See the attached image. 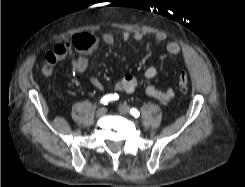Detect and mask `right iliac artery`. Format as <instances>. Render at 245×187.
<instances>
[{
  "label": "right iliac artery",
  "instance_id": "1",
  "mask_svg": "<svg viewBox=\"0 0 245 187\" xmlns=\"http://www.w3.org/2000/svg\"><path fill=\"white\" fill-rule=\"evenodd\" d=\"M118 98H119V96L116 93H114V94H107L104 97H102V99H101L100 102L103 105H107L109 102H113V101L118 100Z\"/></svg>",
  "mask_w": 245,
  "mask_h": 187
}]
</instances>
